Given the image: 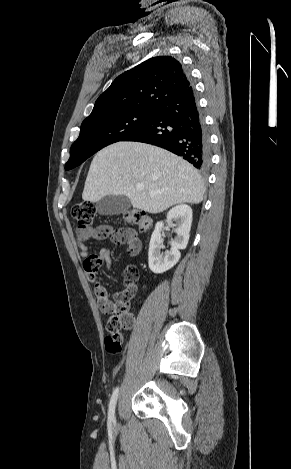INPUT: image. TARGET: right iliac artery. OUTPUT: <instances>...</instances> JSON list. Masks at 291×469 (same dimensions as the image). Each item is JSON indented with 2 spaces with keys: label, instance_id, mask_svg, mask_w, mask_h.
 Segmentation results:
<instances>
[{
  "label": "right iliac artery",
  "instance_id": "82829eb1",
  "mask_svg": "<svg viewBox=\"0 0 291 469\" xmlns=\"http://www.w3.org/2000/svg\"><path fill=\"white\" fill-rule=\"evenodd\" d=\"M118 393H119V389L117 387L114 390V392L112 394V397H111V400H110V403H109L108 420L110 422H114V423H115L114 413H115V407H116V403H117Z\"/></svg>",
  "mask_w": 291,
  "mask_h": 469
}]
</instances>
